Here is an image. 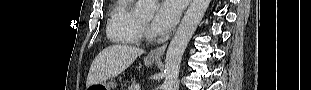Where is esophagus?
<instances>
[{
	"label": "esophagus",
	"mask_w": 311,
	"mask_h": 90,
	"mask_svg": "<svg viewBox=\"0 0 311 90\" xmlns=\"http://www.w3.org/2000/svg\"><path fill=\"white\" fill-rule=\"evenodd\" d=\"M167 47V43L163 44L162 46L155 48L150 51L148 57L153 59H160L162 55L164 54Z\"/></svg>",
	"instance_id": "obj_1"
}]
</instances>
